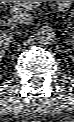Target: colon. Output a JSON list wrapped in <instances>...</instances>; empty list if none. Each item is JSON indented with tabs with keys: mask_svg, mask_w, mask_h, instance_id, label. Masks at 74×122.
Returning a JSON list of instances; mask_svg holds the SVG:
<instances>
[{
	"mask_svg": "<svg viewBox=\"0 0 74 122\" xmlns=\"http://www.w3.org/2000/svg\"><path fill=\"white\" fill-rule=\"evenodd\" d=\"M61 2H62V6H67L68 1H61Z\"/></svg>",
	"mask_w": 74,
	"mask_h": 122,
	"instance_id": "obj_1",
	"label": "colon"
}]
</instances>
